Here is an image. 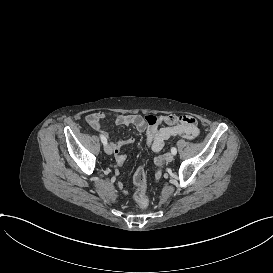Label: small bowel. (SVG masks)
<instances>
[{"instance_id":"c3829d8e","label":"small bowel","mask_w":273,"mask_h":273,"mask_svg":"<svg viewBox=\"0 0 273 273\" xmlns=\"http://www.w3.org/2000/svg\"><path fill=\"white\" fill-rule=\"evenodd\" d=\"M107 115L101 112H95L87 115V124L96 132L100 134L111 146L115 160L118 165H123L126 161V156L121 152L122 146L133 143V137L113 139L111 136L102 130L103 121ZM113 120L120 126H132L137 131L146 134L147 145L154 152H160L166 142L173 137H183L185 139H194L199 135V129L197 121L191 116L185 115H161L159 116V123L156 126L148 127L145 124L144 118L140 114H114ZM164 156V155H162ZM157 158V165L162 166L163 160ZM158 167V166H157ZM157 172V171H156ZM162 174L158 173L155 178V185H160ZM134 182L136 187L146 185V180L137 179L134 175ZM127 187L132 185L130 180L125 182ZM123 184L119 183L116 188L119 189V193L122 194L125 200L129 199V195L124 192L122 188Z\"/></svg>"}]
</instances>
